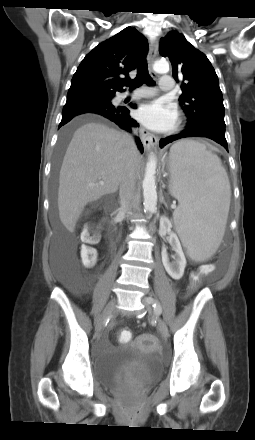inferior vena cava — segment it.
Segmentation results:
<instances>
[{
    "label": "inferior vena cava",
    "instance_id": "602c4592",
    "mask_svg": "<svg viewBox=\"0 0 255 440\" xmlns=\"http://www.w3.org/2000/svg\"><path fill=\"white\" fill-rule=\"evenodd\" d=\"M133 133L137 134V129H133ZM129 141V159L125 167V174L119 186L120 211L130 213L134 204L133 197L135 193V163L134 156L137 153V147L131 135H127Z\"/></svg>",
    "mask_w": 255,
    "mask_h": 440
}]
</instances>
